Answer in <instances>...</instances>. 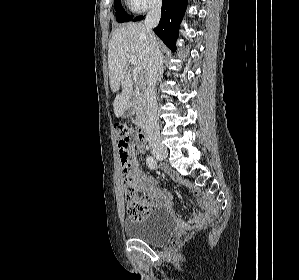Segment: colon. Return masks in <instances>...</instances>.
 <instances>
[{
	"label": "colon",
	"instance_id": "colon-1",
	"mask_svg": "<svg viewBox=\"0 0 299 280\" xmlns=\"http://www.w3.org/2000/svg\"><path fill=\"white\" fill-rule=\"evenodd\" d=\"M116 135L118 139V149L120 161L124 174L125 187V201L126 212L129 218L133 220H139L149 213L148 205L138 198L137 193L129 184L128 173L130 170L129 163V149L131 147L133 136L131 129L123 124H119L115 127Z\"/></svg>",
	"mask_w": 299,
	"mask_h": 280
}]
</instances>
